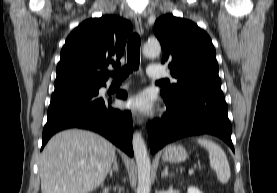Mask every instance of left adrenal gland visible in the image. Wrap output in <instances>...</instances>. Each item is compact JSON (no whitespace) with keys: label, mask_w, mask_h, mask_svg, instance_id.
<instances>
[{"label":"left adrenal gland","mask_w":277,"mask_h":193,"mask_svg":"<svg viewBox=\"0 0 277 193\" xmlns=\"http://www.w3.org/2000/svg\"><path fill=\"white\" fill-rule=\"evenodd\" d=\"M169 175L171 176L172 174L168 173V166H165L163 172L161 173V177L163 178V177H166V176H169Z\"/></svg>","instance_id":"left-adrenal-gland-1"}]
</instances>
